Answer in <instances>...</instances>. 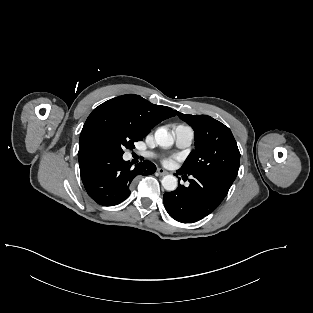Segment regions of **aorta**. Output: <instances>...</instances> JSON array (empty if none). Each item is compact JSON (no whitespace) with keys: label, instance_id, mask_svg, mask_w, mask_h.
<instances>
[{"label":"aorta","instance_id":"762f6f07","mask_svg":"<svg viewBox=\"0 0 313 313\" xmlns=\"http://www.w3.org/2000/svg\"><path fill=\"white\" fill-rule=\"evenodd\" d=\"M155 141L159 146L168 148L173 145L174 138L165 128H159L155 132ZM161 183L167 191H174L178 185L177 178L173 175L164 176Z\"/></svg>","mask_w":313,"mask_h":313}]
</instances>
